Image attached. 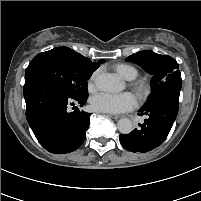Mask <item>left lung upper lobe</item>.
I'll use <instances>...</instances> for the list:
<instances>
[{
  "mask_svg": "<svg viewBox=\"0 0 201 201\" xmlns=\"http://www.w3.org/2000/svg\"><path fill=\"white\" fill-rule=\"evenodd\" d=\"M126 61L140 65L146 72L153 75L152 91L145 105L166 94L179 96L182 86L181 73L178 63L172 57L145 50L129 56Z\"/></svg>",
  "mask_w": 201,
  "mask_h": 201,
  "instance_id": "5c2ea615",
  "label": "left lung upper lobe"
}]
</instances>
